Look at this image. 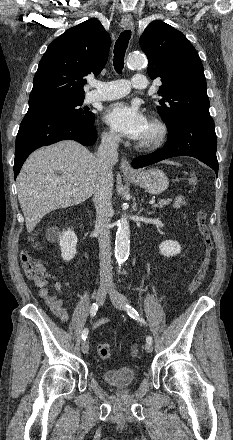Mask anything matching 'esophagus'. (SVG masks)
Instances as JSON below:
<instances>
[{
  "instance_id": "esophagus-1",
  "label": "esophagus",
  "mask_w": 233,
  "mask_h": 440,
  "mask_svg": "<svg viewBox=\"0 0 233 440\" xmlns=\"http://www.w3.org/2000/svg\"><path fill=\"white\" fill-rule=\"evenodd\" d=\"M121 25L125 30H132L134 28L132 17L131 16H124L122 18ZM120 168H121L122 172L125 174H134L135 173V171L131 167L129 161L125 158L122 159L121 164H120Z\"/></svg>"
}]
</instances>
